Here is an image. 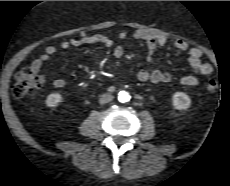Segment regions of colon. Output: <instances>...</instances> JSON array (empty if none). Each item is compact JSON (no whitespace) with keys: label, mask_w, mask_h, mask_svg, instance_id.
<instances>
[{"label":"colon","mask_w":230,"mask_h":186,"mask_svg":"<svg viewBox=\"0 0 230 186\" xmlns=\"http://www.w3.org/2000/svg\"><path fill=\"white\" fill-rule=\"evenodd\" d=\"M44 84L45 76L43 74L26 68L15 75L12 93L15 97L22 98L40 90ZM205 87L208 92H214L218 87L217 81L209 79Z\"/></svg>","instance_id":"1"}]
</instances>
